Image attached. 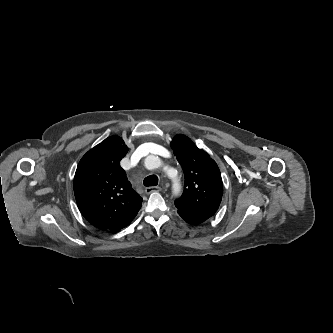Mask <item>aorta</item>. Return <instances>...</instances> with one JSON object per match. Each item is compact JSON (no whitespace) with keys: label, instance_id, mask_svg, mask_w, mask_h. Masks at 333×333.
I'll return each instance as SVG.
<instances>
[{"label":"aorta","instance_id":"762f6f07","mask_svg":"<svg viewBox=\"0 0 333 333\" xmlns=\"http://www.w3.org/2000/svg\"><path fill=\"white\" fill-rule=\"evenodd\" d=\"M154 159H155L154 156H149V157H148V160H154ZM179 191H180V186L175 182V183L173 184V194H174V195H177V194L179 193Z\"/></svg>","mask_w":333,"mask_h":333}]
</instances>
